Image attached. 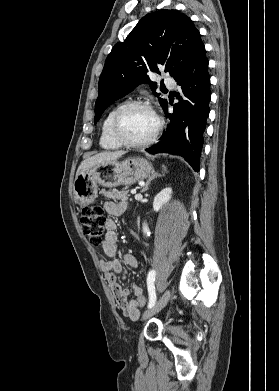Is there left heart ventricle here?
I'll return each mask as SVG.
<instances>
[{
  "mask_svg": "<svg viewBox=\"0 0 279 391\" xmlns=\"http://www.w3.org/2000/svg\"><path fill=\"white\" fill-rule=\"evenodd\" d=\"M157 120L154 114L145 107L129 109L121 120L123 135L131 141H143L154 132Z\"/></svg>",
  "mask_w": 279,
  "mask_h": 391,
  "instance_id": "b2bd125f",
  "label": "left heart ventricle"
}]
</instances>
